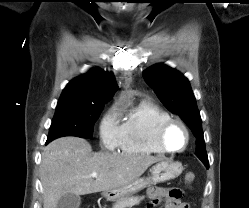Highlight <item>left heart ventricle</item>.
Wrapping results in <instances>:
<instances>
[{
  "label": "left heart ventricle",
  "instance_id": "1",
  "mask_svg": "<svg viewBox=\"0 0 249 208\" xmlns=\"http://www.w3.org/2000/svg\"><path fill=\"white\" fill-rule=\"evenodd\" d=\"M165 142L172 149L182 148L186 142L184 130L178 125L172 126L165 135Z\"/></svg>",
  "mask_w": 249,
  "mask_h": 208
}]
</instances>
